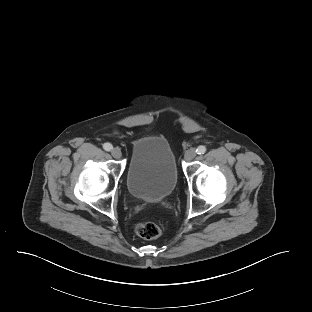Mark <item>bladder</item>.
I'll return each mask as SVG.
<instances>
[{
	"instance_id": "1",
	"label": "bladder",
	"mask_w": 312,
	"mask_h": 312,
	"mask_svg": "<svg viewBox=\"0 0 312 312\" xmlns=\"http://www.w3.org/2000/svg\"><path fill=\"white\" fill-rule=\"evenodd\" d=\"M175 153L159 135L143 136L131 146L126 185L131 196L146 202L168 197L178 182Z\"/></svg>"
}]
</instances>
